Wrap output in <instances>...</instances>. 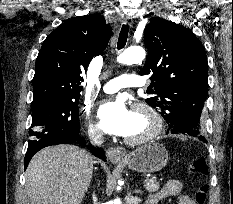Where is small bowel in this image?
<instances>
[{"mask_svg": "<svg viewBox=\"0 0 233 204\" xmlns=\"http://www.w3.org/2000/svg\"><path fill=\"white\" fill-rule=\"evenodd\" d=\"M166 197H175L178 204H195L188 195L182 193V185L178 180L168 181L159 193L148 198L147 204H157Z\"/></svg>", "mask_w": 233, "mask_h": 204, "instance_id": "1", "label": "small bowel"}]
</instances>
